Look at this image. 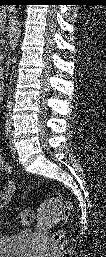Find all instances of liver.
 <instances>
[{
    "instance_id": "liver-1",
    "label": "liver",
    "mask_w": 106,
    "mask_h": 257,
    "mask_svg": "<svg viewBox=\"0 0 106 257\" xmlns=\"http://www.w3.org/2000/svg\"><path fill=\"white\" fill-rule=\"evenodd\" d=\"M5 20H6V14H5V9L2 8L1 9V12H0V28H1V31L3 32L5 30Z\"/></svg>"
}]
</instances>
